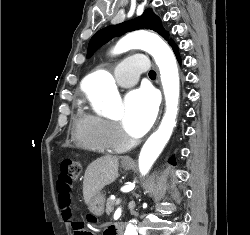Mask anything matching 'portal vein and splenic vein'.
I'll return each instance as SVG.
<instances>
[{
    "label": "portal vein and splenic vein",
    "instance_id": "portal-vein-and-splenic-vein-1",
    "mask_svg": "<svg viewBox=\"0 0 250 235\" xmlns=\"http://www.w3.org/2000/svg\"><path fill=\"white\" fill-rule=\"evenodd\" d=\"M120 202H121V200L118 198V199H116L115 204H116V205H119Z\"/></svg>",
    "mask_w": 250,
    "mask_h": 235
}]
</instances>
